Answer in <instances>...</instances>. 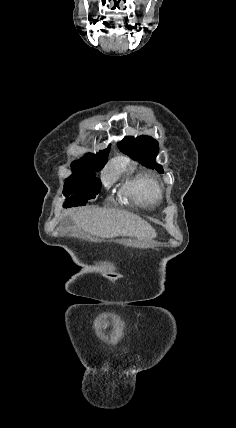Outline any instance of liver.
<instances>
[{"mask_svg":"<svg viewBox=\"0 0 236 428\" xmlns=\"http://www.w3.org/2000/svg\"><path fill=\"white\" fill-rule=\"evenodd\" d=\"M75 224H80L85 232L115 238V236H136L138 240L156 238V230L135 214L117 210H79L71 214Z\"/></svg>","mask_w":236,"mask_h":428,"instance_id":"liver-1","label":"liver"}]
</instances>
